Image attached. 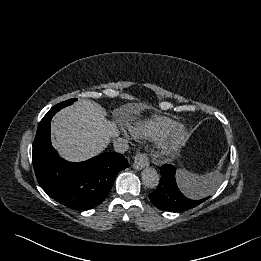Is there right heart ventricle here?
Returning <instances> with one entry per match:
<instances>
[{
  "label": "right heart ventricle",
  "instance_id": "1",
  "mask_svg": "<svg viewBox=\"0 0 261 261\" xmlns=\"http://www.w3.org/2000/svg\"><path fill=\"white\" fill-rule=\"evenodd\" d=\"M179 125L171 118L155 116L134 126L132 133L141 139L157 140L168 136Z\"/></svg>",
  "mask_w": 261,
  "mask_h": 261
}]
</instances>
